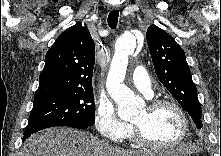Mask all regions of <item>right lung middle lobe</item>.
Segmentation results:
<instances>
[{
	"mask_svg": "<svg viewBox=\"0 0 221 156\" xmlns=\"http://www.w3.org/2000/svg\"><path fill=\"white\" fill-rule=\"evenodd\" d=\"M94 118L92 89L46 95L35 98L24 134L55 126H92Z\"/></svg>",
	"mask_w": 221,
	"mask_h": 156,
	"instance_id": "obj_1",
	"label": "right lung middle lobe"
}]
</instances>
